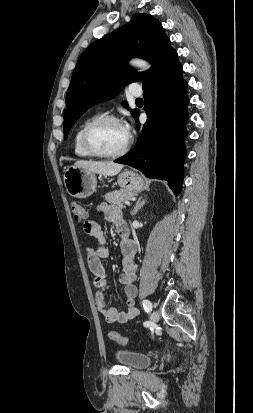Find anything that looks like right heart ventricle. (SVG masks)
Wrapping results in <instances>:
<instances>
[{"instance_id":"obj_1","label":"right heart ventricle","mask_w":253,"mask_h":413,"mask_svg":"<svg viewBox=\"0 0 253 413\" xmlns=\"http://www.w3.org/2000/svg\"><path fill=\"white\" fill-rule=\"evenodd\" d=\"M96 117H97L96 114L87 116L86 118H84V119L78 124V126L76 127V129H75V131H74V134H73V149H74L75 155H77L78 157H81V158H89V157H91V155L88 154V153L84 150V148H83V146H82V144H81V134H82V131H83V129L85 128V126H86L91 120H93V119L96 118Z\"/></svg>"}]
</instances>
